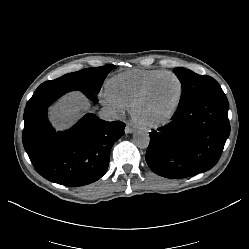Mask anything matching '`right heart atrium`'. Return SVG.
<instances>
[{
    "label": "right heart atrium",
    "mask_w": 249,
    "mask_h": 249,
    "mask_svg": "<svg viewBox=\"0 0 249 249\" xmlns=\"http://www.w3.org/2000/svg\"><path fill=\"white\" fill-rule=\"evenodd\" d=\"M104 105L116 115L123 114L126 111V106L117 99L111 97L107 93L102 96Z\"/></svg>",
    "instance_id": "d8ad5b80"
}]
</instances>
